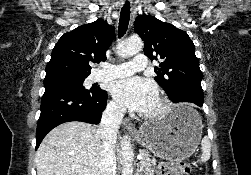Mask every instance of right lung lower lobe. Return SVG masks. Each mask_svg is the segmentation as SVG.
I'll use <instances>...</instances> for the list:
<instances>
[{
  "label": "right lung lower lobe",
  "instance_id": "obj_1",
  "mask_svg": "<svg viewBox=\"0 0 251 175\" xmlns=\"http://www.w3.org/2000/svg\"><path fill=\"white\" fill-rule=\"evenodd\" d=\"M107 92L99 87L86 90L68 83L45 85L36 130L37 149L54 127L69 121L98 124L106 107Z\"/></svg>",
  "mask_w": 251,
  "mask_h": 175
}]
</instances>
